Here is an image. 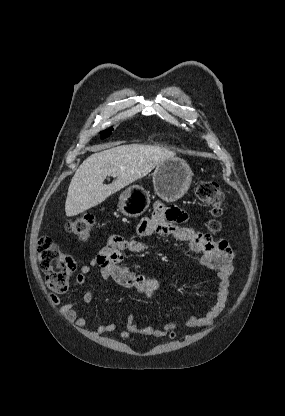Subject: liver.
<instances>
[{
  "instance_id": "6515ba94",
  "label": "liver",
  "mask_w": 285,
  "mask_h": 416,
  "mask_svg": "<svg viewBox=\"0 0 285 416\" xmlns=\"http://www.w3.org/2000/svg\"><path fill=\"white\" fill-rule=\"evenodd\" d=\"M88 150L95 154L82 162L70 182L65 202L66 216H77L85 210L98 206L111 194L147 176L164 160L176 156L175 152H170L161 146H140V144H130V146L100 144ZM107 176L116 178L108 186L103 184Z\"/></svg>"
}]
</instances>
